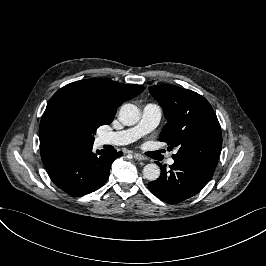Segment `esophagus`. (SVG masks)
<instances>
[{
    "instance_id": "esophagus-1",
    "label": "esophagus",
    "mask_w": 266,
    "mask_h": 266,
    "mask_svg": "<svg viewBox=\"0 0 266 266\" xmlns=\"http://www.w3.org/2000/svg\"><path fill=\"white\" fill-rule=\"evenodd\" d=\"M133 156H134V158H135L136 160H138V161H144V160H146L145 156L142 155V154H140V153H134Z\"/></svg>"
}]
</instances>
